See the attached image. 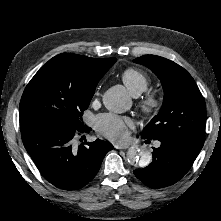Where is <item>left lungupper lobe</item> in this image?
I'll return each mask as SVG.
<instances>
[{"label": "left lung upper lobe", "mask_w": 221, "mask_h": 221, "mask_svg": "<svg viewBox=\"0 0 221 221\" xmlns=\"http://www.w3.org/2000/svg\"><path fill=\"white\" fill-rule=\"evenodd\" d=\"M134 62L151 69L164 89L162 108L141 137L178 143L199 153L204 144L206 113L194 79L184 68L163 57L144 55Z\"/></svg>", "instance_id": "5c2ea615"}]
</instances>
